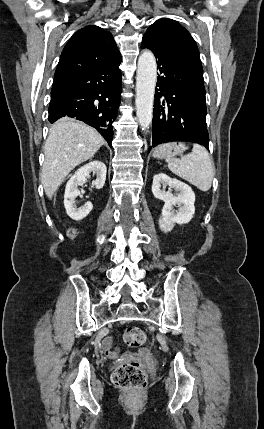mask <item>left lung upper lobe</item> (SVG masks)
Wrapping results in <instances>:
<instances>
[{"mask_svg": "<svg viewBox=\"0 0 264 429\" xmlns=\"http://www.w3.org/2000/svg\"><path fill=\"white\" fill-rule=\"evenodd\" d=\"M145 34L152 35L181 50L203 74L197 45L190 33L178 22L167 18L159 19L147 29Z\"/></svg>", "mask_w": 264, "mask_h": 429, "instance_id": "5c2ea615", "label": "left lung upper lobe"}]
</instances>
